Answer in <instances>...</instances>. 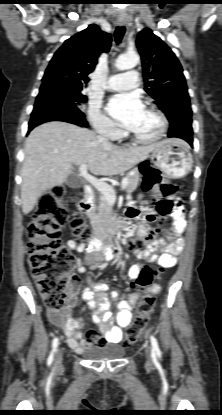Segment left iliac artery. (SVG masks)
<instances>
[{
	"instance_id": "obj_1",
	"label": "left iliac artery",
	"mask_w": 222,
	"mask_h": 415,
	"mask_svg": "<svg viewBox=\"0 0 222 415\" xmlns=\"http://www.w3.org/2000/svg\"><path fill=\"white\" fill-rule=\"evenodd\" d=\"M150 340H151V345H152V352L154 354L160 355L161 352H160V349H159L157 339L152 335L150 337Z\"/></svg>"
}]
</instances>
